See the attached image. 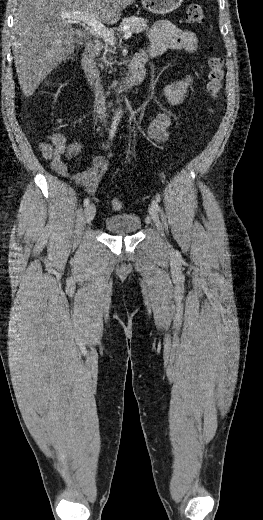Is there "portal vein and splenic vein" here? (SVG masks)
Here are the masks:
<instances>
[{"label":"portal vein and splenic vein","instance_id":"1","mask_svg":"<svg viewBox=\"0 0 263 520\" xmlns=\"http://www.w3.org/2000/svg\"><path fill=\"white\" fill-rule=\"evenodd\" d=\"M61 17L71 20L82 21L90 27L91 31L95 32L97 35L102 37L105 42L111 45L115 43L113 33L109 29H107L100 21H98L93 15L89 13L76 11L70 13H63ZM131 35V31H126L123 37L124 39H129Z\"/></svg>","mask_w":263,"mask_h":520}]
</instances>
